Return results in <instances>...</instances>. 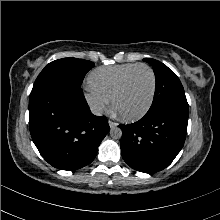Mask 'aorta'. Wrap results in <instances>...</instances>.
I'll return each mask as SVG.
<instances>
[{
    "mask_svg": "<svg viewBox=\"0 0 220 220\" xmlns=\"http://www.w3.org/2000/svg\"><path fill=\"white\" fill-rule=\"evenodd\" d=\"M110 136L114 139H119L122 136V130L119 127H112L110 129Z\"/></svg>",
    "mask_w": 220,
    "mask_h": 220,
    "instance_id": "aorta-1",
    "label": "aorta"
}]
</instances>
